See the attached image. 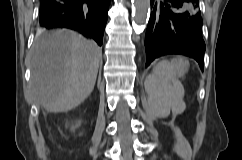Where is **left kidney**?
<instances>
[{
    "label": "left kidney",
    "instance_id": "1",
    "mask_svg": "<svg viewBox=\"0 0 242 160\" xmlns=\"http://www.w3.org/2000/svg\"><path fill=\"white\" fill-rule=\"evenodd\" d=\"M182 96V93H181ZM185 109V103L183 102L182 98L177 99V102L173 108L174 112L180 113L183 112ZM153 112L157 117H167L170 114V108L168 107H160L159 105H155L153 107Z\"/></svg>",
    "mask_w": 242,
    "mask_h": 160
}]
</instances>
